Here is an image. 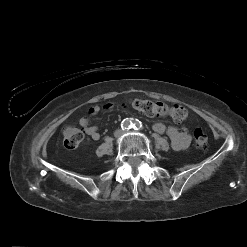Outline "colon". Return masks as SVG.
Returning <instances> with one entry per match:
<instances>
[{
    "label": "colon",
    "instance_id": "1",
    "mask_svg": "<svg viewBox=\"0 0 247 247\" xmlns=\"http://www.w3.org/2000/svg\"><path fill=\"white\" fill-rule=\"evenodd\" d=\"M131 105L136 110L150 117H171L177 122L188 118V111L181 105H167L147 99H134ZM63 143L67 149H75L84 138L83 132L73 126H65L62 129ZM194 143L197 148L204 149L208 144L207 134L202 129H195L193 133Z\"/></svg>",
    "mask_w": 247,
    "mask_h": 247
}]
</instances>
